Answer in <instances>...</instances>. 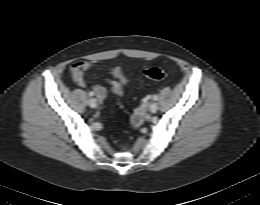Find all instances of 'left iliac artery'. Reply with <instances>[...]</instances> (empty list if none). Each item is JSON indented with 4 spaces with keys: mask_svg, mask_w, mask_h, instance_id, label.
I'll list each match as a JSON object with an SVG mask.
<instances>
[{
    "mask_svg": "<svg viewBox=\"0 0 260 205\" xmlns=\"http://www.w3.org/2000/svg\"><path fill=\"white\" fill-rule=\"evenodd\" d=\"M153 100H154V101L158 100V95H154V96H153Z\"/></svg>",
    "mask_w": 260,
    "mask_h": 205,
    "instance_id": "obj_1",
    "label": "left iliac artery"
}]
</instances>
